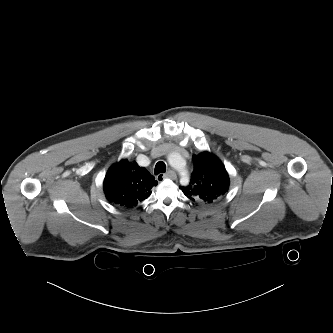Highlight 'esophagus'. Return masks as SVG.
Masks as SVG:
<instances>
[{"mask_svg":"<svg viewBox=\"0 0 333 333\" xmlns=\"http://www.w3.org/2000/svg\"><path fill=\"white\" fill-rule=\"evenodd\" d=\"M156 179L158 181H162L164 179H171L175 180L176 179V173L173 170H169L167 173L164 174H158Z\"/></svg>","mask_w":333,"mask_h":333,"instance_id":"1","label":"esophagus"}]
</instances>
